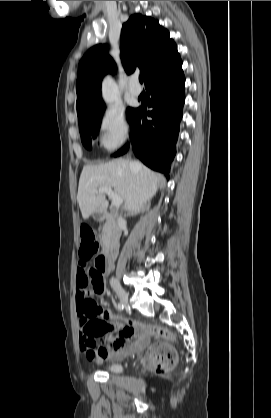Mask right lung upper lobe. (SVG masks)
Here are the masks:
<instances>
[{
	"label": "right lung upper lobe",
	"instance_id": "obj_1",
	"mask_svg": "<svg viewBox=\"0 0 271 418\" xmlns=\"http://www.w3.org/2000/svg\"><path fill=\"white\" fill-rule=\"evenodd\" d=\"M121 61L131 74L139 69L145 86L156 75L180 60L175 42L168 30L151 17L132 15L121 31ZM116 64L104 45L89 49L78 66L76 83L77 114L81 116L104 104L101 99V81L105 74L115 73Z\"/></svg>",
	"mask_w": 271,
	"mask_h": 418
}]
</instances>
